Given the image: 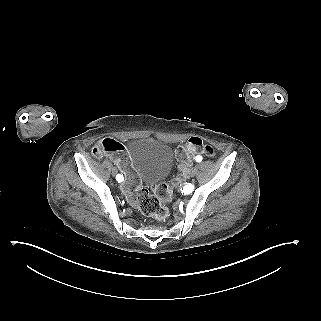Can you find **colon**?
Masks as SVG:
<instances>
[{
    "mask_svg": "<svg viewBox=\"0 0 321 321\" xmlns=\"http://www.w3.org/2000/svg\"><path fill=\"white\" fill-rule=\"evenodd\" d=\"M92 152L96 157L106 155L112 159L123 175L122 192L142 214L157 220H164L168 217L169 211L162 202L171 199L176 182L156 185L153 195L142 187L140 177L134 170L126 147L122 143L106 138L95 144ZM214 154V149L198 137L189 138L176 149V158L181 164V169H184L196 155L213 157Z\"/></svg>",
    "mask_w": 321,
    "mask_h": 321,
    "instance_id": "colon-1",
    "label": "colon"
}]
</instances>
